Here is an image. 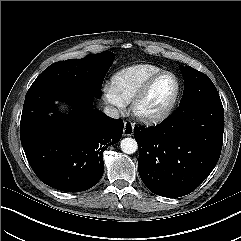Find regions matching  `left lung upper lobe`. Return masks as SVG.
<instances>
[{
	"label": "left lung upper lobe",
	"mask_w": 241,
	"mask_h": 241,
	"mask_svg": "<svg viewBox=\"0 0 241 241\" xmlns=\"http://www.w3.org/2000/svg\"><path fill=\"white\" fill-rule=\"evenodd\" d=\"M184 76V92L179 106L195 101L221 102L213 82L202 72L187 66H180Z\"/></svg>",
	"instance_id": "obj_1"
}]
</instances>
